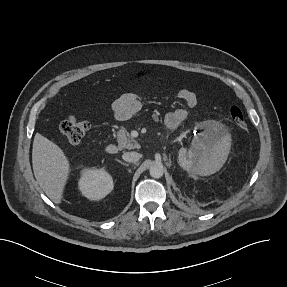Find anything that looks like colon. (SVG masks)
Here are the masks:
<instances>
[{
	"instance_id": "obj_1",
	"label": "colon",
	"mask_w": 287,
	"mask_h": 287,
	"mask_svg": "<svg viewBox=\"0 0 287 287\" xmlns=\"http://www.w3.org/2000/svg\"><path fill=\"white\" fill-rule=\"evenodd\" d=\"M229 116L232 122L239 128H246V120L240 107L232 105L229 108ZM89 130V123L70 116L60 125V132L71 144H79Z\"/></svg>"
}]
</instances>
